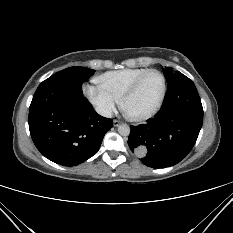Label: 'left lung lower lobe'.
Returning <instances> with one entry per match:
<instances>
[{
	"instance_id": "1",
	"label": "left lung lower lobe",
	"mask_w": 233,
	"mask_h": 233,
	"mask_svg": "<svg viewBox=\"0 0 233 233\" xmlns=\"http://www.w3.org/2000/svg\"><path fill=\"white\" fill-rule=\"evenodd\" d=\"M203 123V108L194 83L176 72L159 112L147 123L132 126L128 145L152 168L179 163L193 148Z\"/></svg>"
}]
</instances>
